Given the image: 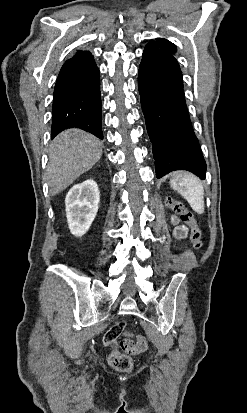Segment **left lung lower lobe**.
<instances>
[{
	"label": "left lung lower lobe",
	"instance_id": "0a47b994",
	"mask_svg": "<svg viewBox=\"0 0 247 413\" xmlns=\"http://www.w3.org/2000/svg\"><path fill=\"white\" fill-rule=\"evenodd\" d=\"M138 86L152 142L156 177L188 170L206 177V162L194 134L183 91L182 73L172 53L145 47Z\"/></svg>",
	"mask_w": 247,
	"mask_h": 413
}]
</instances>
